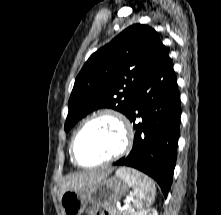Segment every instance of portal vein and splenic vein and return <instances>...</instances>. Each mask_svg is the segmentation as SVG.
<instances>
[{
  "label": "portal vein and splenic vein",
  "mask_w": 221,
  "mask_h": 215,
  "mask_svg": "<svg viewBox=\"0 0 221 215\" xmlns=\"http://www.w3.org/2000/svg\"><path fill=\"white\" fill-rule=\"evenodd\" d=\"M128 207V204H125V208Z\"/></svg>",
  "instance_id": "18ae733b"
}]
</instances>
